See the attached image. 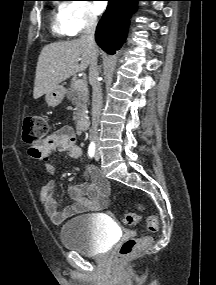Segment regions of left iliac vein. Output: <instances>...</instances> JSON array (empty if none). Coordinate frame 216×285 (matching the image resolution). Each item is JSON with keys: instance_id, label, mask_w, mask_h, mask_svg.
Here are the masks:
<instances>
[{"instance_id": "4c4485c4", "label": "left iliac vein", "mask_w": 216, "mask_h": 285, "mask_svg": "<svg viewBox=\"0 0 216 285\" xmlns=\"http://www.w3.org/2000/svg\"><path fill=\"white\" fill-rule=\"evenodd\" d=\"M99 159H100V153H99V150H96L95 160L98 161Z\"/></svg>"}]
</instances>
